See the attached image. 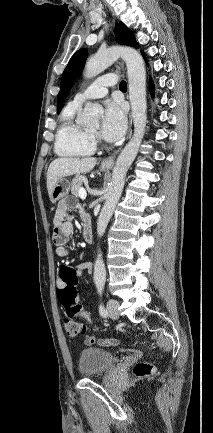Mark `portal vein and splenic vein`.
<instances>
[{
	"instance_id": "1",
	"label": "portal vein and splenic vein",
	"mask_w": 213,
	"mask_h": 433,
	"mask_svg": "<svg viewBox=\"0 0 213 433\" xmlns=\"http://www.w3.org/2000/svg\"><path fill=\"white\" fill-rule=\"evenodd\" d=\"M86 196H87L86 190L84 188H80L79 189V197L84 200L86 198Z\"/></svg>"
}]
</instances>
